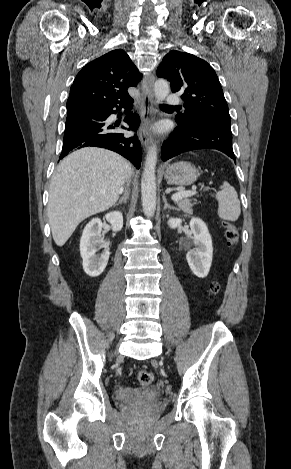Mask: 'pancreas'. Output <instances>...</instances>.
<instances>
[{"mask_svg": "<svg viewBox=\"0 0 291 469\" xmlns=\"http://www.w3.org/2000/svg\"><path fill=\"white\" fill-rule=\"evenodd\" d=\"M176 204L180 208V210L184 211L187 214H191L193 212L192 207L195 203H192V200L189 198H182L176 201Z\"/></svg>", "mask_w": 291, "mask_h": 469, "instance_id": "obj_1", "label": "pancreas"}]
</instances>
